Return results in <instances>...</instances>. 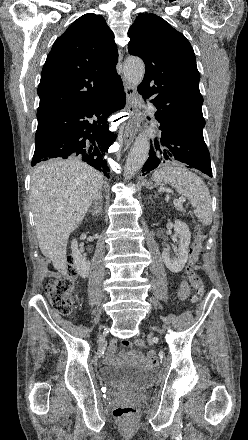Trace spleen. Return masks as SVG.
<instances>
[{"label": "spleen", "instance_id": "spleen-1", "mask_svg": "<svg viewBox=\"0 0 248 440\" xmlns=\"http://www.w3.org/2000/svg\"><path fill=\"white\" fill-rule=\"evenodd\" d=\"M156 183L164 182L187 197L194 214L203 225L212 223V199L204 181L196 174L180 166L168 165L156 170L152 175Z\"/></svg>", "mask_w": 248, "mask_h": 440}]
</instances>
